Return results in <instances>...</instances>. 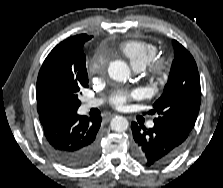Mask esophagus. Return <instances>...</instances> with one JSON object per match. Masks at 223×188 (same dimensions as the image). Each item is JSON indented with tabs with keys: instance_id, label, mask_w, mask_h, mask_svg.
I'll return each instance as SVG.
<instances>
[{
	"instance_id": "esophagus-1",
	"label": "esophagus",
	"mask_w": 223,
	"mask_h": 188,
	"mask_svg": "<svg viewBox=\"0 0 223 188\" xmlns=\"http://www.w3.org/2000/svg\"><path fill=\"white\" fill-rule=\"evenodd\" d=\"M112 117H113V115L108 116V117L105 118V120H106V121H110V119H111Z\"/></svg>"
}]
</instances>
